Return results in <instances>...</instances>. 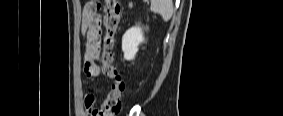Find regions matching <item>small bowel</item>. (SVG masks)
Listing matches in <instances>:
<instances>
[{
    "mask_svg": "<svg viewBox=\"0 0 283 116\" xmlns=\"http://www.w3.org/2000/svg\"><path fill=\"white\" fill-rule=\"evenodd\" d=\"M99 5L96 1L88 3L82 12V32L85 35V55L84 72L90 81H94L100 75L99 41L102 27L101 20L97 14ZM84 107L89 114L93 116H102V113L96 108V97L93 93H88L84 99Z\"/></svg>",
    "mask_w": 283,
    "mask_h": 116,
    "instance_id": "c3829d8e",
    "label": "small bowel"
}]
</instances>
